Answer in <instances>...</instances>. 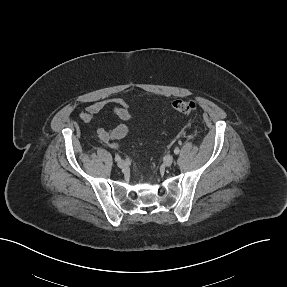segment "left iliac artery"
Wrapping results in <instances>:
<instances>
[{"mask_svg":"<svg viewBox=\"0 0 287 287\" xmlns=\"http://www.w3.org/2000/svg\"><path fill=\"white\" fill-rule=\"evenodd\" d=\"M179 152H180V149H179V148H175V149H174V153H175V154H179Z\"/></svg>","mask_w":287,"mask_h":287,"instance_id":"1","label":"left iliac artery"}]
</instances>
